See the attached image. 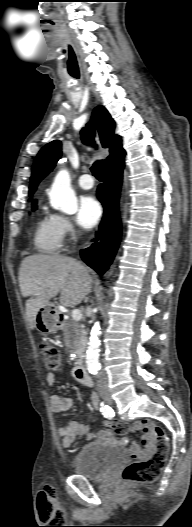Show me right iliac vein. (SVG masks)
<instances>
[{"label": "right iliac vein", "mask_w": 192, "mask_h": 527, "mask_svg": "<svg viewBox=\"0 0 192 527\" xmlns=\"http://www.w3.org/2000/svg\"><path fill=\"white\" fill-rule=\"evenodd\" d=\"M103 397H104V399H105L106 401H108V402L111 401L109 393L104 392V393H103Z\"/></svg>", "instance_id": "63e3f726"}]
</instances>
